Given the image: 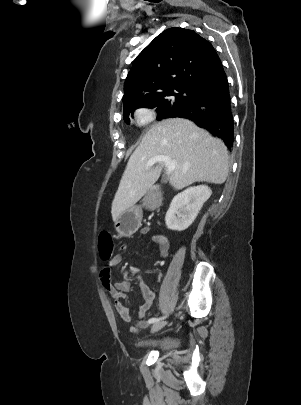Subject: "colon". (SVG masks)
<instances>
[{
  "label": "colon",
  "mask_w": 301,
  "mask_h": 405,
  "mask_svg": "<svg viewBox=\"0 0 301 405\" xmlns=\"http://www.w3.org/2000/svg\"><path fill=\"white\" fill-rule=\"evenodd\" d=\"M98 250L103 261L109 262L113 255V243L111 235L104 231L101 232L98 238Z\"/></svg>",
  "instance_id": "colon-1"
}]
</instances>
